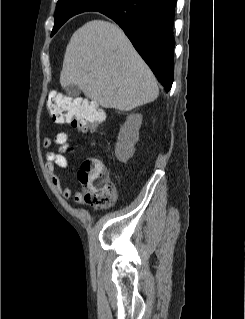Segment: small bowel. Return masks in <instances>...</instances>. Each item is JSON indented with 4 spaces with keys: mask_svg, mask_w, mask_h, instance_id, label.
<instances>
[{
    "mask_svg": "<svg viewBox=\"0 0 245 319\" xmlns=\"http://www.w3.org/2000/svg\"><path fill=\"white\" fill-rule=\"evenodd\" d=\"M53 146H57V151L53 150ZM43 147L46 151V171L49 174L50 180L62 197L69 199L72 196V190L68 186L61 185V179L56 173V168H66L68 165L65 154L73 147L69 135L66 132H59L55 135L54 139L46 137L43 139ZM74 201L78 205L83 204V194L80 192L75 193Z\"/></svg>",
    "mask_w": 245,
    "mask_h": 319,
    "instance_id": "obj_1",
    "label": "small bowel"
}]
</instances>
